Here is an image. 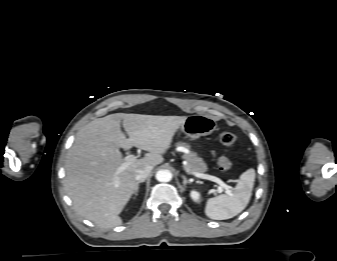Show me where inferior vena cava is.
Returning <instances> with one entry per match:
<instances>
[{
	"mask_svg": "<svg viewBox=\"0 0 337 261\" xmlns=\"http://www.w3.org/2000/svg\"><path fill=\"white\" fill-rule=\"evenodd\" d=\"M152 169L153 167L150 165L136 169L135 179L138 181L145 180L149 176Z\"/></svg>",
	"mask_w": 337,
	"mask_h": 261,
	"instance_id": "obj_1",
	"label": "inferior vena cava"
}]
</instances>
